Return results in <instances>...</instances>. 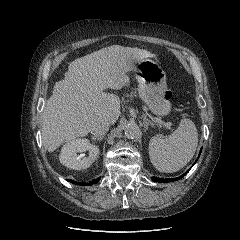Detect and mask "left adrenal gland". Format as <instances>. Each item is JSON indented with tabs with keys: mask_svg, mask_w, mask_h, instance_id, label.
Instances as JSON below:
<instances>
[{
	"mask_svg": "<svg viewBox=\"0 0 240 240\" xmlns=\"http://www.w3.org/2000/svg\"><path fill=\"white\" fill-rule=\"evenodd\" d=\"M142 118H143L145 130H148L149 125H151L152 127L154 126V124L148 118H146L144 114L142 115Z\"/></svg>",
	"mask_w": 240,
	"mask_h": 240,
	"instance_id": "left-adrenal-gland-1",
	"label": "left adrenal gland"
}]
</instances>
